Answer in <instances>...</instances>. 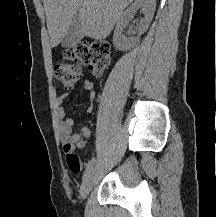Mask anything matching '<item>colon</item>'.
Here are the masks:
<instances>
[{"mask_svg":"<svg viewBox=\"0 0 216 217\" xmlns=\"http://www.w3.org/2000/svg\"><path fill=\"white\" fill-rule=\"evenodd\" d=\"M64 56L73 63L55 64L54 75L66 88H72L80 79L82 68H88L96 77L104 73L110 62V45L104 41L80 42L66 50ZM66 161L71 171L80 172V158L73 146L66 151Z\"/></svg>","mask_w":216,"mask_h":217,"instance_id":"colon-1","label":"colon"}]
</instances>
